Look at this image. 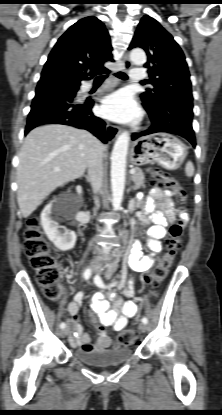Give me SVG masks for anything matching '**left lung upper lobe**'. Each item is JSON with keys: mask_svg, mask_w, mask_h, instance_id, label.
Returning <instances> with one entry per match:
<instances>
[{"mask_svg": "<svg viewBox=\"0 0 222 415\" xmlns=\"http://www.w3.org/2000/svg\"><path fill=\"white\" fill-rule=\"evenodd\" d=\"M135 47L143 48L147 53L148 61L144 66L148 68V82L153 85L141 94L143 106H156L165 87L176 83L191 84L183 51L172 35L148 15L141 19L129 49ZM179 107L180 100L174 98L162 109V114H173Z\"/></svg>", "mask_w": 222, "mask_h": 415, "instance_id": "left-lung-upper-lobe-1", "label": "left lung upper lobe"}]
</instances>
